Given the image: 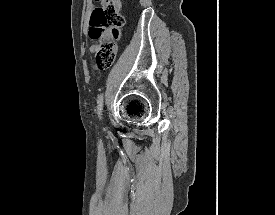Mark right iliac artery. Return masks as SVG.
<instances>
[{
  "label": "right iliac artery",
  "instance_id": "1",
  "mask_svg": "<svg viewBox=\"0 0 275 215\" xmlns=\"http://www.w3.org/2000/svg\"><path fill=\"white\" fill-rule=\"evenodd\" d=\"M98 105H97V112H98V115L99 117L101 118V113H102V107H103V95L100 94L98 96Z\"/></svg>",
  "mask_w": 275,
  "mask_h": 215
}]
</instances>
